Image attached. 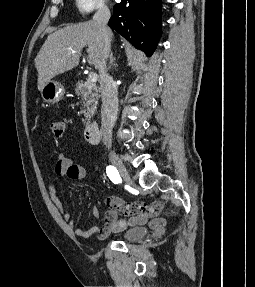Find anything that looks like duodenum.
Instances as JSON below:
<instances>
[{
	"label": "duodenum",
	"mask_w": 255,
	"mask_h": 287,
	"mask_svg": "<svg viewBox=\"0 0 255 287\" xmlns=\"http://www.w3.org/2000/svg\"><path fill=\"white\" fill-rule=\"evenodd\" d=\"M99 127L96 122L90 123L84 130V138L90 144H95L98 141Z\"/></svg>",
	"instance_id": "410a0bca"
}]
</instances>
